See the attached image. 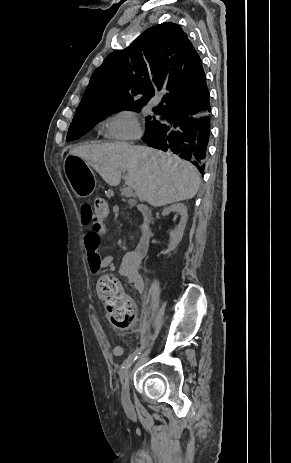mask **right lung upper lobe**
Here are the masks:
<instances>
[{"label":"right lung upper lobe","instance_id":"1","mask_svg":"<svg viewBox=\"0 0 291 463\" xmlns=\"http://www.w3.org/2000/svg\"><path fill=\"white\" fill-rule=\"evenodd\" d=\"M204 77L202 61L187 34L175 23H162L106 56L93 72L77 110L108 102L145 105L159 91L165 92V105L154 109L189 108L207 93L201 85Z\"/></svg>","mask_w":291,"mask_h":463}]
</instances>
